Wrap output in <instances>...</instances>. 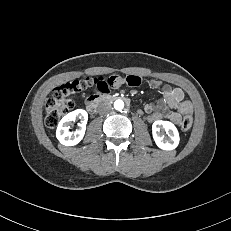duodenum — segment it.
<instances>
[{
  "instance_id": "410a0bca",
  "label": "duodenum",
  "mask_w": 231,
  "mask_h": 231,
  "mask_svg": "<svg viewBox=\"0 0 231 231\" xmlns=\"http://www.w3.org/2000/svg\"><path fill=\"white\" fill-rule=\"evenodd\" d=\"M118 98V96L113 95V94H103L100 95L98 98H95L93 100H91L88 104H87V111L91 114L95 113L97 111V109L99 108V106L103 103L109 102V101H113L116 100Z\"/></svg>"
}]
</instances>
